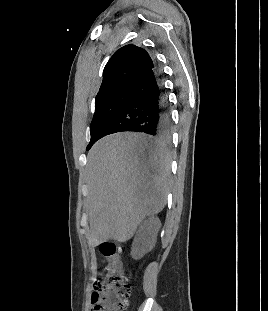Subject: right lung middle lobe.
<instances>
[{
    "label": "right lung middle lobe",
    "mask_w": 268,
    "mask_h": 311,
    "mask_svg": "<svg viewBox=\"0 0 268 311\" xmlns=\"http://www.w3.org/2000/svg\"><path fill=\"white\" fill-rule=\"evenodd\" d=\"M135 88L136 84L124 85L95 99V113L90 125L91 140L87 146V150H89L97 140L102 138L105 129L128 103Z\"/></svg>",
    "instance_id": "1"
}]
</instances>
